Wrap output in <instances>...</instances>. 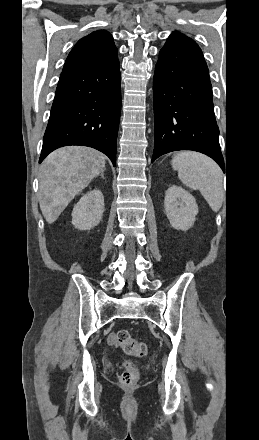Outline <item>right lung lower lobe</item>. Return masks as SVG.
Returning <instances> with one entry per match:
<instances>
[{"label": "right lung lower lobe", "mask_w": 259, "mask_h": 440, "mask_svg": "<svg viewBox=\"0 0 259 440\" xmlns=\"http://www.w3.org/2000/svg\"><path fill=\"white\" fill-rule=\"evenodd\" d=\"M120 83L117 56L95 67L63 71L39 163L59 147L83 145L103 152L115 166L121 110Z\"/></svg>", "instance_id": "obj_1"}]
</instances>
